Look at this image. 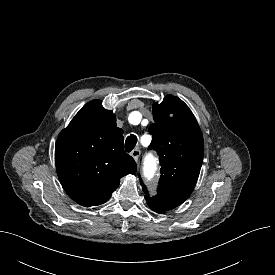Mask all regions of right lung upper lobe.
Instances as JSON below:
<instances>
[{"label": "right lung upper lobe", "mask_w": 275, "mask_h": 275, "mask_svg": "<svg viewBox=\"0 0 275 275\" xmlns=\"http://www.w3.org/2000/svg\"><path fill=\"white\" fill-rule=\"evenodd\" d=\"M123 130L112 111L92 100L58 136L55 163L60 183L78 204L105 203L120 178L136 172V163L123 148Z\"/></svg>", "instance_id": "1"}]
</instances>
